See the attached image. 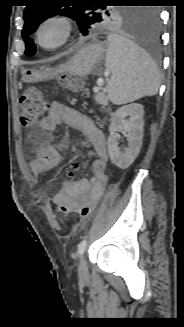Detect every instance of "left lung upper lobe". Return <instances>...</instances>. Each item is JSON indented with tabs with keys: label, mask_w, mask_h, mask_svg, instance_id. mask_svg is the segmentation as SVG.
<instances>
[{
	"label": "left lung upper lobe",
	"mask_w": 184,
	"mask_h": 327,
	"mask_svg": "<svg viewBox=\"0 0 184 327\" xmlns=\"http://www.w3.org/2000/svg\"><path fill=\"white\" fill-rule=\"evenodd\" d=\"M50 0H32L24 11L25 25L22 37L25 41V54L30 56L36 51V47L28 36H30L42 23L54 15H63L76 20L80 31L87 35L96 27L111 24H125L135 26L143 16V9L126 8L118 9L107 6L108 3H128L132 0H77L74 6H61L47 4ZM92 2H99L97 6L90 5Z\"/></svg>",
	"instance_id": "left-lung-upper-lobe-1"
}]
</instances>
